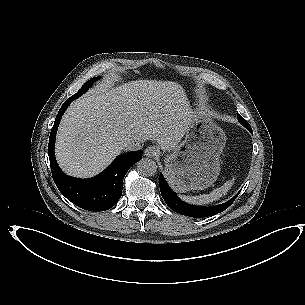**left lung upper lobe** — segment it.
Segmentation results:
<instances>
[{"instance_id":"obj_1","label":"left lung upper lobe","mask_w":305,"mask_h":305,"mask_svg":"<svg viewBox=\"0 0 305 305\" xmlns=\"http://www.w3.org/2000/svg\"><path fill=\"white\" fill-rule=\"evenodd\" d=\"M238 120L244 127H246L250 132H252L251 126L242 116H238ZM179 208H180L179 214H182L185 216L197 217V218L207 217V215H206L207 210L204 208H201V207H196L193 205L182 203Z\"/></svg>"}]
</instances>
